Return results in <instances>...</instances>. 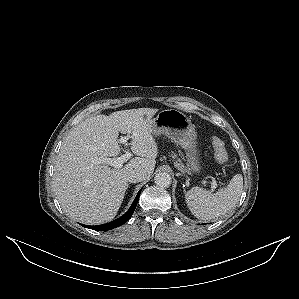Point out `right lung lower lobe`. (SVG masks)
Segmentation results:
<instances>
[{"label": "right lung lower lobe", "mask_w": 299, "mask_h": 299, "mask_svg": "<svg viewBox=\"0 0 299 299\" xmlns=\"http://www.w3.org/2000/svg\"><path fill=\"white\" fill-rule=\"evenodd\" d=\"M141 190L138 192L133 204L131 205L130 209L120 218L110 222V223H106L103 225H96V226H88V225H83L86 228L92 229V230H97V231H106V230H110L116 227H119L121 225H123L125 222H127L130 217L132 216L136 206H137V202L139 200V196H140Z\"/></svg>", "instance_id": "obj_1"}]
</instances>
